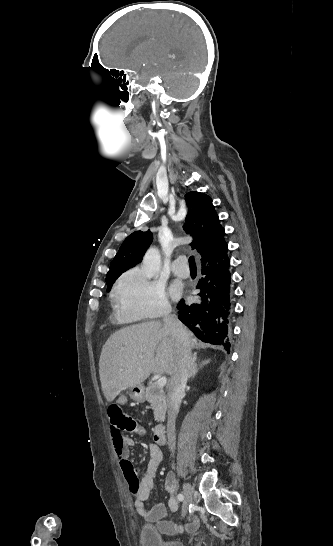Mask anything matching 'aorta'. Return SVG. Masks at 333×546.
Masks as SVG:
<instances>
[{"mask_svg": "<svg viewBox=\"0 0 333 546\" xmlns=\"http://www.w3.org/2000/svg\"><path fill=\"white\" fill-rule=\"evenodd\" d=\"M161 266V256L158 249L152 247L150 248L142 261V270L147 278L154 277L160 269Z\"/></svg>", "mask_w": 333, "mask_h": 546, "instance_id": "obj_1", "label": "aorta"}]
</instances>
